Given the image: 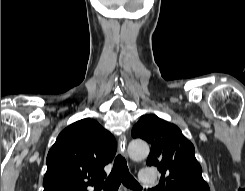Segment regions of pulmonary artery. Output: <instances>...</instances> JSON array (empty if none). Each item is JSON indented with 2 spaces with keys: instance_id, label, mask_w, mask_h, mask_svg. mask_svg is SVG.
Masks as SVG:
<instances>
[{
  "instance_id": "1",
  "label": "pulmonary artery",
  "mask_w": 245,
  "mask_h": 191,
  "mask_svg": "<svg viewBox=\"0 0 245 191\" xmlns=\"http://www.w3.org/2000/svg\"><path fill=\"white\" fill-rule=\"evenodd\" d=\"M139 176L141 183L145 186H153L157 182V175L153 168L142 169Z\"/></svg>"
}]
</instances>
